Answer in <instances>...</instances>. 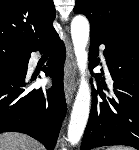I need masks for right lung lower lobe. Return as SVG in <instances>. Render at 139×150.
Segmentation results:
<instances>
[{
    "label": "right lung lower lobe",
    "instance_id": "98d812e1",
    "mask_svg": "<svg viewBox=\"0 0 139 150\" xmlns=\"http://www.w3.org/2000/svg\"><path fill=\"white\" fill-rule=\"evenodd\" d=\"M49 49L50 57L43 68L53 78L50 89L29 90L26 76L33 51ZM66 50L55 29L36 47L25 51L23 58L0 60V133H25L53 150L66 114L63 90V64Z\"/></svg>",
    "mask_w": 139,
    "mask_h": 150
}]
</instances>
